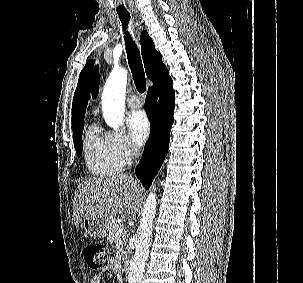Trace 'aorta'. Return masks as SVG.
<instances>
[{"mask_svg": "<svg viewBox=\"0 0 303 283\" xmlns=\"http://www.w3.org/2000/svg\"><path fill=\"white\" fill-rule=\"evenodd\" d=\"M126 85L127 71L115 67L105 83L102 94L105 122L116 132L124 119ZM156 207L157 195L152 190L144 203L135 254L130 262L128 283H143V273L149 256L150 237L153 231Z\"/></svg>", "mask_w": 303, "mask_h": 283, "instance_id": "aorta-1", "label": "aorta"}]
</instances>
